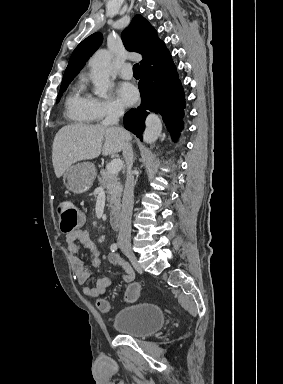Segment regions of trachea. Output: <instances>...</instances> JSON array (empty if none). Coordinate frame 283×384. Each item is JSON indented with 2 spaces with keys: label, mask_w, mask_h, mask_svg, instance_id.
Wrapping results in <instances>:
<instances>
[{
  "label": "trachea",
  "mask_w": 283,
  "mask_h": 384,
  "mask_svg": "<svg viewBox=\"0 0 283 384\" xmlns=\"http://www.w3.org/2000/svg\"><path fill=\"white\" fill-rule=\"evenodd\" d=\"M133 73L134 74H139V64L136 63L134 66H133Z\"/></svg>",
  "instance_id": "1"
}]
</instances>
